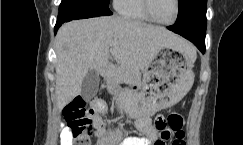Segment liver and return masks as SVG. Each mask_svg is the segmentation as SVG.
<instances>
[{"label": "liver", "instance_id": "obj_1", "mask_svg": "<svg viewBox=\"0 0 243 145\" xmlns=\"http://www.w3.org/2000/svg\"><path fill=\"white\" fill-rule=\"evenodd\" d=\"M116 45L109 48V43ZM187 41L164 27L120 16L94 17L65 23L56 36V96L61 110L81 94L82 81L90 69L109 67L112 57L134 76L144 71L158 51H185Z\"/></svg>", "mask_w": 243, "mask_h": 145}]
</instances>
